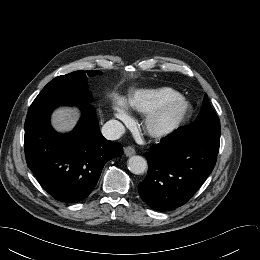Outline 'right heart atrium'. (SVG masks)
<instances>
[{
  "mask_svg": "<svg viewBox=\"0 0 260 260\" xmlns=\"http://www.w3.org/2000/svg\"><path fill=\"white\" fill-rule=\"evenodd\" d=\"M114 116L117 120L127 123L130 120V114L125 102L121 99H116L113 106Z\"/></svg>",
  "mask_w": 260,
  "mask_h": 260,
  "instance_id": "obj_1",
  "label": "right heart atrium"
}]
</instances>
